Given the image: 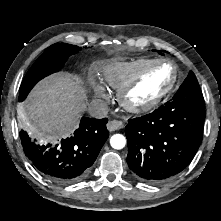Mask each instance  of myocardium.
I'll use <instances>...</instances> for the list:
<instances>
[{
    "label": "myocardium",
    "mask_w": 221,
    "mask_h": 221,
    "mask_svg": "<svg viewBox=\"0 0 221 221\" xmlns=\"http://www.w3.org/2000/svg\"><path fill=\"white\" fill-rule=\"evenodd\" d=\"M168 66L171 70V78L164 89L157 95L144 102H137L131 98L132 91L142 81V79L156 66ZM178 68L174 63L167 59L152 60L133 78L126 82L118 91V100L121 106L128 112L134 114H143L152 111L158 107L162 101L172 92L178 81Z\"/></svg>",
    "instance_id": "f54148a6"
}]
</instances>
